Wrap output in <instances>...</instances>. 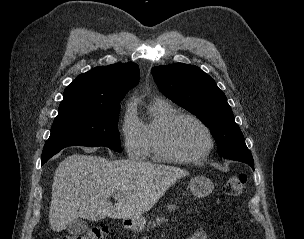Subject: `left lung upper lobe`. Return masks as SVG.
I'll use <instances>...</instances> for the list:
<instances>
[{
  "mask_svg": "<svg viewBox=\"0 0 304 239\" xmlns=\"http://www.w3.org/2000/svg\"><path fill=\"white\" fill-rule=\"evenodd\" d=\"M151 73L166 97L197 115L211 130L219 156L254 165L225 94L208 74L183 63L157 66Z\"/></svg>",
  "mask_w": 304,
  "mask_h": 239,
  "instance_id": "5c2ea615",
  "label": "left lung upper lobe"
}]
</instances>
